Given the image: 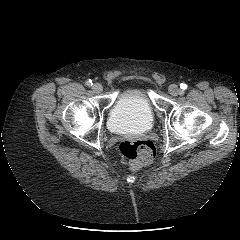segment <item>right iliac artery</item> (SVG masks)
Wrapping results in <instances>:
<instances>
[{"mask_svg": "<svg viewBox=\"0 0 240 240\" xmlns=\"http://www.w3.org/2000/svg\"><path fill=\"white\" fill-rule=\"evenodd\" d=\"M92 84H93V83H92V81H91V80H87V81H86V85H87L88 87H91V86H92Z\"/></svg>", "mask_w": 240, "mask_h": 240, "instance_id": "right-iliac-artery-1", "label": "right iliac artery"}]
</instances>
